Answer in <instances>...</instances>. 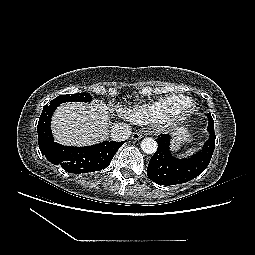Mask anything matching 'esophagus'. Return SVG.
Here are the masks:
<instances>
[{"instance_id": "34e87169", "label": "esophagus", "mask_w": 255, "mask_h": 255, "mask_svg": "<svg viewBox=\"0 0 255 255\" xmlns=\"http://www.w3.org/2000/svg\"><path fill=\"white\" fill-rule=\"evenodd\" d=\"M143 137V135H142V133L141 132H134L133 134H132V139L133 140H139V139H141Z\"/></svg>"}]
</instances>
